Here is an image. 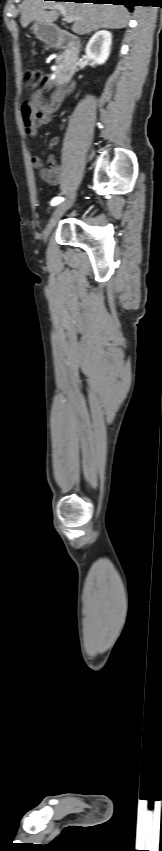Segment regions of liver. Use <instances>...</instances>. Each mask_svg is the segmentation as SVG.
I'll list each match as a JSON object with an SVG mask.
<instances>
[{
    "instance_id": "1",
    "label": "liver",
    "mask_w": 162,
    "mask_h": 851,
    "mask_svg": "<svg viewBox=\"0 0 162 851\" xmlns=\"http://www.w3.org/2000/svg\"><path fill=\"white\" fill-rule=\"evenodd\" d=\"M58 7H64L69 15L77 18L72 31L78 35L103 28L122 29L129 21L128 10L122 5L24 0L20 17L22 27H27L33 21L52 25L59 16Z\"/></svg>"
}]
</instances>
